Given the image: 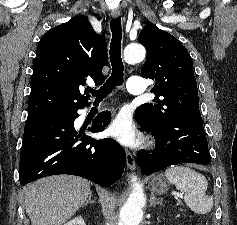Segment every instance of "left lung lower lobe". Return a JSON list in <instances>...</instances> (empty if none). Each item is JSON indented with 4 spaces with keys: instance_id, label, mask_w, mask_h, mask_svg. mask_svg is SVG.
Masks as SVG:
<instances>
[{
    "instance_id": "1",
    "label": "left lung lower lobe",
    "mask_w": 237,
    "mask_h": 225,
    "mask_svg": "<svg viewBox=\"0 0 237 225\" xmlns=\"http://www.w3.org/2000/svg\"><path fill=\"white\" fill-rule=\"evenodd\" d=\"M137 118V117H136ZM142 129L152 131L156 148L137 155L138 165L146 175L180 163L208 164L210 154L199 107L193 108L176 120L152 130L138 118Z\"/></svg>"
}]
</instances>
